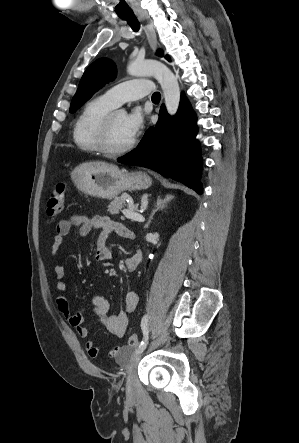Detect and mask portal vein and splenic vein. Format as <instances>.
Returning a JSON list of instances; mask_svg holds the SVG:
<instances>
[{"label": "portal vein and splenic vein", "mask_w": 299, "mask_h": 443, "mask_svg": "<svg viewBox=\"0 0 299 443\" xmlns=\"http://www.w3.org/2000/svg\"><path fill=\"white\" fill-rule=\"evenodd\" d=\"M145 210V208H142L140 210V212H143ZM123 215L126 216L127 218L134 220V221H138V222H143L144 218L141 214L134 212L133 208H129V209H124L122 211Z\"/></svg>", "instance_id": "1"}]
</instances>
